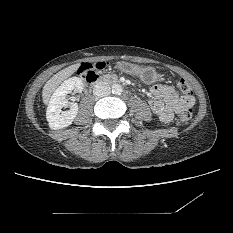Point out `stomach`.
<instances>
[{"label":"stomach","mask_w":233,"mask_h":233,"mask_svg":"<svg viewBox=\"0 0 233 233\" xmlns=\"http://www.w3.org/2000/svg\"><path fill=\"white\" fill-rule=\"evenodd\" d=\"M116 68L127 74L137 76L145 84H153L161 80L160 75L150 67H139L126 61H118Z\"/></svg>","instance_id":"0dacf381"}]
</instances>
